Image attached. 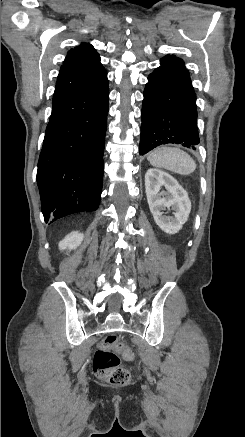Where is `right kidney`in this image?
I'll return each mask as SVG.
<instances>
[{
    "instance_id": "ca27d5eb",
    "label": "right kidney",
    "mask_w": 245,
    "mask_h": 437,
    "mask_svg": "<svg viewBox=\"0 0 245 437\" xmlns=\"http://www.w3.org/2000/svg\"><path fill=\"white\" fill-rule=\"evenodd\" d=\"M83 240V234L78 231L72 232L67 235L62 241L59 242V249H75L77 248Z\"/></svg>"
}]
</instances>
